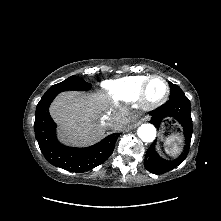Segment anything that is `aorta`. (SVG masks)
<instances>
[{
	"instance_id": "obj_1",
	"label": "aorta",
	"mask_w": 221,
	"mask_h": 221,
	"mask_svg": "<svg viewBox=\"0 0 221 221\" xmlns=\"http://www.w3.org/2000/svg\"><path fill=\"white\" fill-rule=\"evenodd\" d=\"M138 137L143 142H152L156 137V128L152 124H142L137 130Z\"/></svg>"
}]
</instances>
